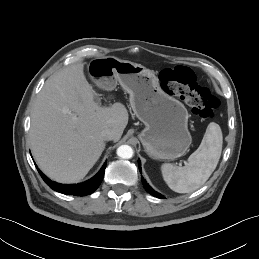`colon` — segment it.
Wrapping results in <instances>:
<instances>
[{"mask_svg":"<svg viewBox=\"0 0 259 259\" xmlns=\"http://www.w3.org/2000/svg\"><path fill=\"white\" fill-rule=\"evenodd\" d=\"M159 80L164 91L185 102L200 118L210 119L217 112L218 99L197 83L191 69L183 66L165 68L160 72Z\"/></svg>","mask_w":259,"mask_h":259,"instance_id":"1","label":"colon"}]
</instances>
